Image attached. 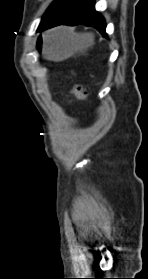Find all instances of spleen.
<instances>
[{"label":"spleen","instance_id":"1","mask_svg":"<svg viewBox=\"0 0 148 279\" xmlns=\"http://www.w3.org/2000/svg\"><path fill=\"white\" fill-rule=\"evenodd\" d=\"M64 30V29H63ZM64 31H66V30H64ZM91 36V37H93L91 34H85V36ZM52 37L54 38L55 37V33L52 35Z\"/></svg>","mask_w":148,"mask_h":279}]
</instances>
